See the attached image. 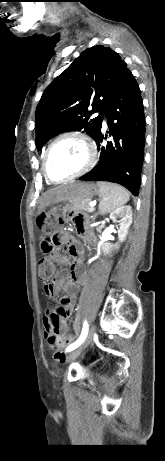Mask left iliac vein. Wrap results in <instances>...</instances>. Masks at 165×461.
Here are the masks:
<instances>
[{"label":"left iliac vein","instance_id":"1","mask_svg":"<svg viewBox=\"0 0 165 461\" xmlns=\"http://www.w3.org/2000/svg\"><path fill=\"white\" fill-rule=\"evenodd\" d=\"M96 332V325L93 324L91 325L88 334L86 336V339L83 341V343L74 351H72L68 356H67V361H71L75 359L80 353H82L88 345L91 343L93 336L95 335Z\"/></svg>","mask_w":165,"mask_h":461}]
</instances>
